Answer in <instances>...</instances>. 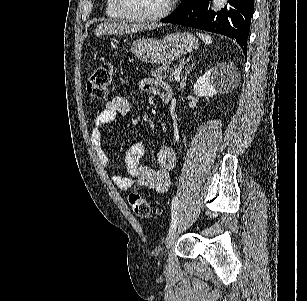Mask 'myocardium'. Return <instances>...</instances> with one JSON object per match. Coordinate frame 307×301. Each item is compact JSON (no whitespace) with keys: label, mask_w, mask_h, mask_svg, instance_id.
<instances>
[{"label":"myocardium","mask_w":307,"mask_h":301,"mask_svg":"<svg viewBox=\"0 0 307 301\" xmlns=\"http://www.w3.org/2000/svg\"><path fill=\"white\" fill-rule=\"evenodd\" d=\"M128 1L130 0L114 1V6L116 8L115 14L117 17H124V22H160L161 17H166L172 6V1L168 0L161 11L124 10L126 8L125 4Z\"/></svg>","instance_id":"obj_1"}]
</instances>
